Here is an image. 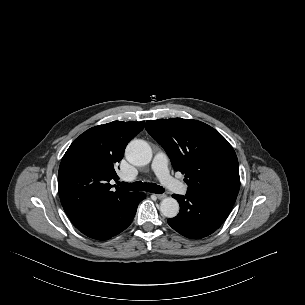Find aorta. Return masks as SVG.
Instances as JSON below:
<instances>
[{
	"label": "aorta",
	"mask_w": 305,
	"mask_h": 305,
	"mask_svg": "<svg viewBox=\"0 0 305 305\" xmlns=\"http://www.w3.org/2000/svg\"><path fill=\"white\" fill-rule=\"evenodd\" d=\"M126 159L135 166H145L152 159V150L144 140H132L126 147ZM160 212L167 218L179 213V203L172 197L164 198L160 203Z\"/></svg>",
	"instance_id": "obj_1"
}]
</instances>
